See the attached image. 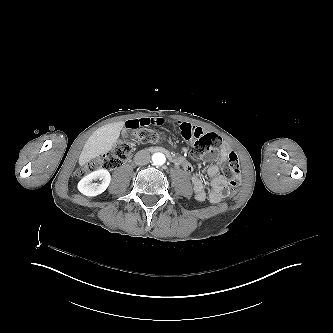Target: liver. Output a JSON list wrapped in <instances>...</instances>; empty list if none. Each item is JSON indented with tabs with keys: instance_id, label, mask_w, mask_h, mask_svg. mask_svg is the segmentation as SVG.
<instances>
[{
	"instance_id": "obj_1",
	"label": "liver",
	"mask_w": 333,
	"mask_h": 333,
	"mask_svg": "<svg viewBox=\"0 0 333 333\" xmlns=\"http://www.w3.org/2000/svg\"><path fill=\"white\" fill-rule=\"evenodd\" d=\"M124 121L106 124L93 132L87 139L78 159L80 167H84L91 160L110 152L123 131Z\"/></svg>"
}]
</instances>
